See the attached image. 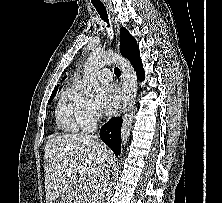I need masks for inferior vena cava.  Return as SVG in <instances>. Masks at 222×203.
I'll return each instance as SVG.
<instances>
[{"mask_svg":"<svg viewBox=\"0 0 222 203\" xmlns=\"http://www.w3.org/2000/svg\"><path fill=\"white\" fill-rule=\"evenodd\" d=\"M92 137H94V136H92ZM109 176H110V169L108 166L107 169L104 171V173L99 176L100 179H99V183L97 185V193L95 196L96 198L94 200V201H96V203H104L106 186H107V181L109 179Z\"/></svg>","mask_w":222,"mask_h":203,"instance_id":"obj_1","label":"inferior vena cava"}]
</instances>
